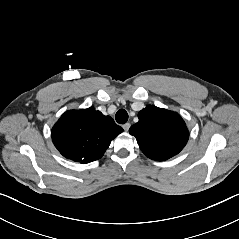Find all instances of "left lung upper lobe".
I'll list each match as a JSON object with an SVG mask.
<instances>
[{
  "instance_id": "5c2ea615",
  "label": "left lung upper lobe",
  "mask_w": 239,
  "mask_h": 239,
  "mask_svg": "<svg viewBox=\"0 0 239 239\" xmlns=\"http://www.w3.org/2000/svg\"><path fill=\"white\" fill-rule=\"evenodd\" d=\"M138 118L129 133L136 137L140 149L150 159L165 161L186 145L189 132L178 113L148 105L138 113Z\"/></svg>"
}]
</instances>
